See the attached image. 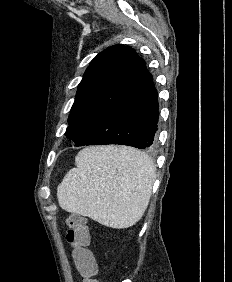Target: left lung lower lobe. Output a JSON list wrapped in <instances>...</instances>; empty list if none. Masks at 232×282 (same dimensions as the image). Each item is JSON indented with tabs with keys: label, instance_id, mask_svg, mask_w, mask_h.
Listing matches in <instances>:
<instances>
[{
	"label": "left lung lower lobe",
	"instance_id": "1",
	"mask_svg": "<svg viewBox=\"0 0 232 282\" xmlns=\"http://www.w3.org/2000/svg\"><path fill=\"white\" fill-rule=\"evenodd\" d=\"M158 117L157 90L145 61L140 59L130 77L100 111L89 139L77 146L121 144L151 148Z\"/></svg>",
	"mask_w": 232,
	"mask_h": 282
}]
</instances>
